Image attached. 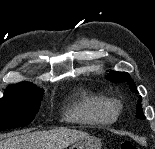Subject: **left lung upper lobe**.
Here are the masks:
<instances>
[{"instance_id":"5c2ea615","label":"left lung upper lobe","mask_w":155,"mask_h":149,"mask_svg":"<svg viewBox=\"0 0 155 149\" xmlns=\"http://www.w3.org/2000/svg\"><path fill=\"white\" fill-rule=\"evenodd\" d=\"M108 80L111 82L117 83V82H127L129 85V88L132 92L138 93L137 88L131 79L130 75L126 72H115L110 71L107 77ZM142 98L140 97L137 104V111H136V117L139 119H145V116L142 111V105H141Z\"/></svg>"}]
</instances>
